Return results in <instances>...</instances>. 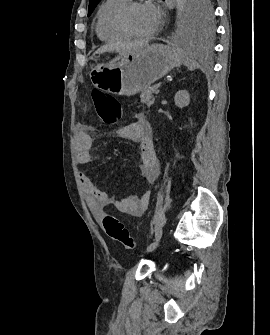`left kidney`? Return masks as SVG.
Returning a JSON list of instances; mask_svg holds the SVG:
<instances>
[{"label":"left kidney","instance_id":"5707ae66","mask_svg":"<svg viewBox=\"0 0 270 335\" xmlns=\"http://www.w3.org/2000/svg\"><path fill=\"white\" fill-rule=\"evenodd\" d=\"M174 102L178 108H185L190 102V96L186 90H179L176 92Z\"/></svg>","mask_w":270,"mask_h":335}]
</instances>
